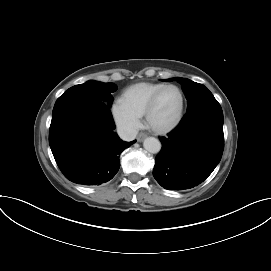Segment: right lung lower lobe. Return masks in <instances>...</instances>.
<instances>
[{
	"instance_id": "right-lung-lower-lobe-1",
	"label": "right lung lower lobe",
	"mask_w": 271,
	"mask_h": 271,
	"mask_svg": "<svg viewBox=\"0 0 271 271\" xmlns=\"http://www.w3.org/2000/svg\"><path fill=\"white\" fill-rule=\"evenodd\" d=\"M109 106L102 101L66 104L53 109L49 144L67 179L83 185H100L118 172L124 142L113 132Z\"/></svg>"
}]
</instances>
